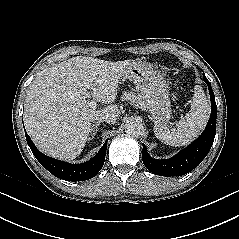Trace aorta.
<instances>
[{"mask_svg":"<svg viewBox=\"0 0 239 239\" xmlns=\"http://www.w3.org/2000/svg\"><path fill=\"white\" fill-rule=\"evenodd\" d=\"M126 133L132 137H139L144 133V126L140 122H130L126 125Z\"/></svg>","mask_w":239,"mask_h":239,"instance_id":"obj_1","label":"aorta"}]
</instances>
